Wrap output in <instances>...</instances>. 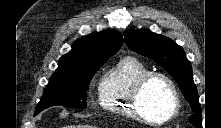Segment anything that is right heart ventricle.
I'll return each mask as SVG.
<instances>
[{
	"label": "right heart ventricle",
	"mask_w": 221,
	"mask_h": 128,
	"mask_svg": "<svg viewBox=\"0 0 221 128\" xmlns=\"http://www.w3.org/2000/svg\"><path fill=\"white\" fill-rule=\"evenodd\" d=\"M150 71V67L134 55L121 57L100 81L101 107L115 116L136 118L131 109L130 94L136 81Z\"/></svg>",
	"instance_id": "e07e8e85"
}]
</instances>
